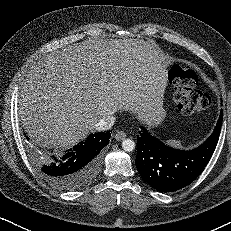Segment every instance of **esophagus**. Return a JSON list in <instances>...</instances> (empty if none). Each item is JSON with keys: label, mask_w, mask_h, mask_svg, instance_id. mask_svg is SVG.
Segmentation results:
<instances>
[{"label": "esophagus", "mask_w": 231, "mask_h": 231, "mask_svg": "<svg viewBox=\"0 0 231 231\" xmlns=\"http://www.w3.org/2000/svg\"><path fill=\"white\" fill-rule=\"evenodd\" d=\"M115 139L117 141H122L126 138V133L123 131H117L114 135Z\"/></svg>", "instance_id": "obj_1"}]
</instances>
